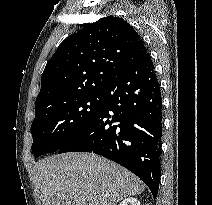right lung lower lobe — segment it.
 Listing matches in <instances>:
<instances>
[{"label": "right lung lower lobe", "instance_id": "obj_1", "mask_svg": "<svg viewBox=\"0 0 212 205\" xmlns=\"http://www.w3.org/2000/svg\"><path fill=\"white\" fill-rule=\"evenodd\" d=\"M90 121L57 152H94L137 175L157 196L160 181L162 98L149 53L129 65L101 92Z\"/></svg>", "mask_w": 212, "mask_h": 205}]
</instances>
